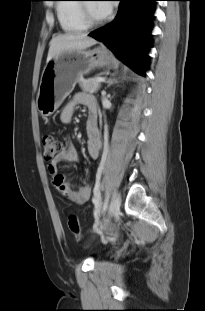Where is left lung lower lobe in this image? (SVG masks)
Instances as JSON below:
<instances>
[{"label":"left lung lower lobe","mask_w":205,"mask_h":311,"mask_svg":"<svg viewBox=\"0 0 205 311\" xmlns=\"http://www.w3.org/2000/svg\"><path fill=\"white\" fill-rule=\"evenodd\" d=\"M116 18L89 35L103 42L119 59L144 75L157 0H120Z\"/></svg>","instance_id":"1"}]
</instances>
